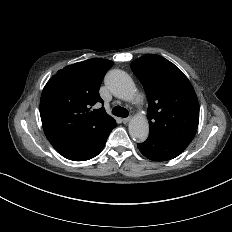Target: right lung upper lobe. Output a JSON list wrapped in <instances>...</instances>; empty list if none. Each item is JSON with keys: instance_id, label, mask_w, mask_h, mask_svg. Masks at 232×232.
<instances>
[{"instance_id": "obj_1", "label": "right lung upper lobe", "mask_w": 232, "mask_h": 232, "mask_svg": "<svg viewBox=\"0 0 232 232\" xmlns=\"http://www.w3.org/2000/svg\"><path fill=\"white\" fill-rule=\"evenodd\" d=\"M113 62L93 58L66 66L45 85L40 99L44 133L50 143L80 141L107 130L115 120L105 109H92L103 102L101 82Z\"/></svg>"}]
</instances>
